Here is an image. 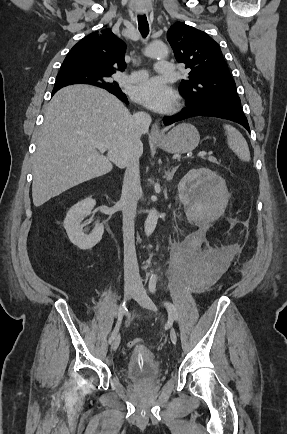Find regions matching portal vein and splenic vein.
I'll return each instance as SVG.
<instances>
[{
  "label": "portal vein and splenic vein",
  "instance_id": "obj_1",
  "mask_svg": "<svg viewBox=\"0 0 287 434\" xmlns=\"http://www.w3.org/2000/svg\"><path fill=\"white\" fill-rule=\"evenodd\" d=\"M92 143L102 153L108 149L107 145H105L103 143H99V142H95V141H93ZM206 155H207V152H205V151H201L198 153V156H200V157H204Z\"/></svg>",
  "mask_w": 287,
  "mask_h": 434
}]
</instances>
